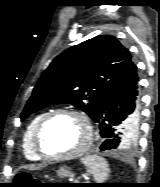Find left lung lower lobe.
<instances>
[{"label": "left lung lower lobe", "mask_w": 160, "mask_h": 187, "mask_svg": "<svg viewBox=\"0 0 160 187\" xmlns=\"http://www.w3.org/2000/svg\"><path fill=\"white\" fill-rule=\"evenodd\" d=\"M139 77L134 65L129 76L115 87L103 100L94 119L105 140L99 147L101 151L116 149L122 137L130 133L139 121ZM133 141L132 139L127 142Z\"/></svg>", "instance_id": "0a47b994"}]
</instances>
